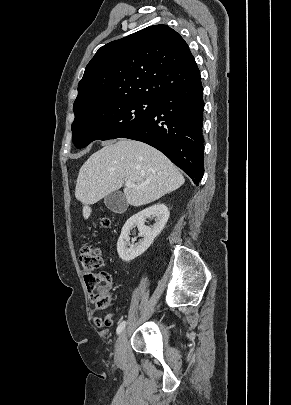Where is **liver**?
I'll return each mask as SVG.
<instances>
[{
  "instance_id": "liver-1",
  "label": "liver",
  "mask_w": 291,
  "mask_h": 405,
  "mask_svg": "<svg viewBox=\"0 0 291 405\" xmlns=\"http://www.w3.org/2000/svg\"><path fill=\"white\" fill-rule=\"evenodd\" d=\"M127 180L135 185L124 188L132 206L149 204L185 182L164 154L143 142L121 139L106 144L88 158L78 174L75 197L83 205V217L89 218L91 204L119 190Z\"/></svg>"
}]
</instances>
